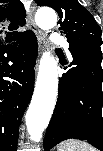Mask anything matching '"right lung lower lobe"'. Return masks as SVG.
<instances>
[{
  "label": "right lung lower lobe",
  "mask_w": 103,
  "mask_h": 151,
  "mask_svg": "<svg viewBox=\"0 0 103 151\" xmlns=\"http://www.w3.org/2000/svg\"><path fill=\"white\" fill-rule=\"evenodd\" d=\"M37 39L21 35L0 46V150L16 151L19 126L34 85ZM11 61L13 64L9 65ZM8 77L9 79H3Z\"/></svg>",
  "instance_id": "right-lung-lower-lobe-1"
}]
</instances>
